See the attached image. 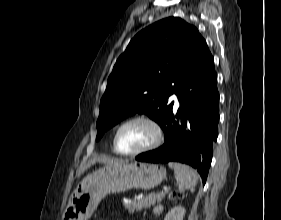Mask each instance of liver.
<instances>
[{
  "instance_id": "obj_1",
  "label": "liver",
  "mask_w": 281,
  "mask_h": 220,
  "mask_svg": "<svg viewBox=\"0 0 281 220\" xmlns=\"http://www.w3.org/2000/svg\"><path fill=\"white\" fill-rule=\"evenodd\" d=\"M103 162L105 163L106 167H111V166H118V165H123V164H127V161L124 160H120V159H111V158H106V157H95L93 159H91L87 165L84 167V169L82 170V172L89 168L91 165L95 164L96 162Z\"/></svg>"
}]
</instances>
